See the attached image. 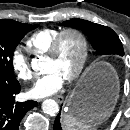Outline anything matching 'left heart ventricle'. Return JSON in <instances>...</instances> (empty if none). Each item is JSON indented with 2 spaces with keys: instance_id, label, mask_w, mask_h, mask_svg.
<instances>
[{
  "instance_id": "b2bd125f",
  "label": "left heart ventricle",
  "mask_w": 130,
  "mask_h": 130,
  "mask_svg": "<svg viewBox=\"0 0 130 130\" xmlns=\"http://www.w3.org/2000/svg\"><path fill=\"white\" fill-rule=\"evenodd\" d=\"M81 52V42L78 37L67 34L61 42L57 56L46 59L45 70H56L66 79L77 67Z\"/></svg>"
}]
</instances>
